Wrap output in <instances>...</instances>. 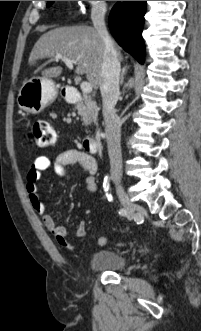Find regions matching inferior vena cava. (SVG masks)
I'll use <instances>...</instances> for the list:
<instances>
[{
  "label": "inferior vena cava",
  "mask_w": 201,
  "mask_h": 331,
  "mask_svg": "<svg viewBox=\"0 0 201 331\" xmlns=\"http://www.w3.org/2000/svg\"><path fill=\"white\" fill-rule=\"evenodd\" d=\"M105 8H98L92 14L94 28L100 34L103 44V61L101 67L102 114L105 122L108 155L111 173L117 177L122 175L121 154V122L116 114L115 105L119 97L120 62L113 41L105 26Z\"/></svg>",
  "instance_id": "inferior-vena-cava-1"
}]
</instances>
